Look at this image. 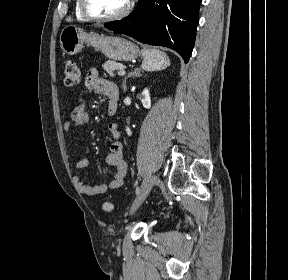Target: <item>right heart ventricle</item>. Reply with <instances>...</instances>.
<instances>
[{
	"label": "right heart ventricle",
	"instance_id": "right-heart-ventricle-1",
	"mask_svg": "<svg viewBox=\"0 0 288 280\" xmlns=\"http://www.w3.org/2000/svg\"><path fill=\"white\" fill-rule=\"evenodd\" d=\"M74 12H75V16L78 20L80 21H88L87 18H85L83 16V14L81 13L80 7H79V0H76L75 2V6H74Z\"/></svg>",
	"mask_w": 288,
	"mask_h": 280
}]
</instances>
